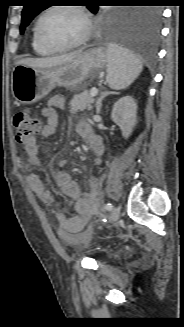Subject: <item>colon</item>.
Returning a JSON list of instances; mask_svg holds the SVG:
<instances>
[{"label":"colon","mask_w":184,"mask_h":327,"mask_svg":"<svg viewBox=\"0 0 184 327\" xmlns=\"http://www.w3.org/2000/svg\"><path fill=\"white\" fill-rule=\"evenodd\" d=\"M13 126L16 140L21 144H27L40 132L41 121L30 111L20 110L14 115ZM94 217L100 220L101 214L96 213Z\"/></svg>","instance_id":"5ec220e1"}]
</instances>
